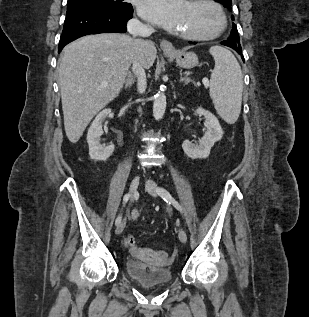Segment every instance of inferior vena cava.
I'll return each instance as SVG.
<instances>
[{
    "mask_svg": "<svg viewBox=\"0 0 309 317\" xmlns=\"http://www.w3.org/2000/svg\"><path fill=\"white\" fill-rule=\"evenodd\" d=\"M127 30L134 38L137 36L148 37L154 32L153 28H151L148 25L142 24L137 19H131L128 21ZM133 44H134L135 55L132 62V72L137 77V88L139 93H144L146 90L147 83H146L145 70L141 61L143 40L134 39Z\"/></svg>",
    "mask_w": 309,
    "mask_h": 317,
    "instance_id": "602c4592",
    "label": "inferior vena cava"
}]
</instances>
